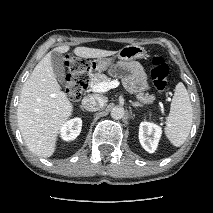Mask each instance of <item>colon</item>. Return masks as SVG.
<instances>
[{
	"label": "colon",
	"instance_id": "colon-1",
	"mask_svg": "<svg viewBox=\"0 0 213 213\" xmlns=\"http://www.w3.org/2000/svg\"><path fill=\"white\" fill-rule=\"evenodd\" d=\"M68 74L65 82V93L71 100H77L85 90L88 80V61L78 58L69 57L66 61ZM169 75V66L165 60L156 56L152 60L151 76L155 88L163 93L167 89Z\"/></svg>",
	"mask_w": 213,
	"mask_h": 213
}]
</instances>
